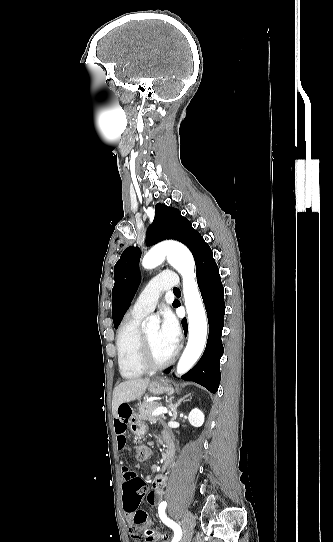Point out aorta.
<instances>
[{"label":"aorta","instance_id":"1","mask_svg":"<svg viewBox=\"0 0 333 542\" xmlns=\"http://www.w3.org/2000/svg\"><path fill=\"white\" fill-rule=\"evenodd\" d=\"M164 256L183 278V296L189 322L187 346L177 364V376H183L198 362L206 344L207 320L205 308L195 280L194 258L186 246L178 242H169L165 248L150 250L142 260L146 270H153L163 262ZM154 320L151 316L147 328H152Z\"/></svg>","mask_w":333,"mask_h":542}]
</instances>
